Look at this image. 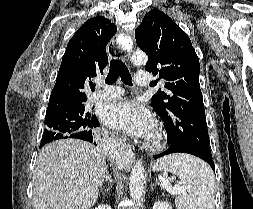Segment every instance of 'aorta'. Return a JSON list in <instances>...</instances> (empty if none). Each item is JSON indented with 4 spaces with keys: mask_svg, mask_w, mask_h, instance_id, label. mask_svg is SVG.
<instances>
[{
    "mask_svg": "<svg viewBox=\"0 0 253 209\" xmlns=\"http://www.w3.org/2000/svg\"><path fill=\"white\" fill-rule=\"evenodd\" d=\"M148 57L143 52H135L132 55V62L137 66L147 63ZM145 185L144 167L141 161H136L130 175V196L133 200L138 201L143 195Z\"/></svg>",
    "mask_w": 253,
    "mask_h": 209,
    "instance_id": "1",
    "label": "aorta"
}]
</instances>
